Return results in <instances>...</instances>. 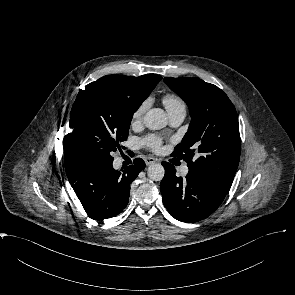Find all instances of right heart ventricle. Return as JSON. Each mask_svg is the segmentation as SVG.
Listing matches in <instances>:
<instances>
[{"label":"right heart ventricle","mask_w":295,"mask_h":295,"mask_svg":"<svg viewBox=\"0 0 295 295\" xmlns=\"http://www.w3.org/2000/svg\"><path fill=\"white\" fill-rule=\"evenodd\" d=\"M162 102L170 116L181 112L186 113V103L180 96L174 93L165 94Z\"/></svg>","instance_id":"e07e8e85"}]
</instances>
